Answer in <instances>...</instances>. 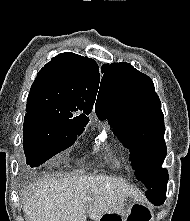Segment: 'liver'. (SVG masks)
Here are the masks:
<instances>
[{"mask_svg":"<svg viewBox=\"0 0 190 221\" xmlns=\"http://www.w3.org/2000/svg\"><path fill=\"white\" fill-rule=\"evenodd\" d=\"M128 197L137 198L136 190L111 176L52 174L26 195L23 212L30 221H98L105 212L123 211Z\"/></svg>","mask_w":190,"mask_h":221,"instance_id":"obj_1","label":"liver"}]
</instances>
